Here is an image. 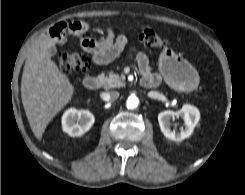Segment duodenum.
I'll list each match as a JSON object with an SVG mask.
<instances>
[{"instance_id": "410a0bca", "label": "duodenum", "mask_w": 245, "mask_h": 195, "mask_svg": "<svg viewBox=\"0 0 245 195\" xmlns=\"http://www.w3.org/2000/svg\"><path fill=\"white\" fill-rule=\"evenodd\" d=\"M159 82V78L148 74H143L141 78L142 86L149 89L157 87ZM83 83L88 90H96L100 87L101 82L97 76L89 75L84 78Z\"/></svg>"}]
</instances>
